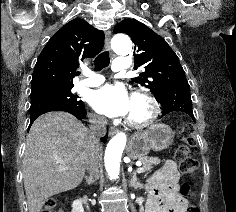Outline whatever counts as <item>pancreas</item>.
Wrapping results in <instances>:
<instances>
[{"mask_svg": "<svg viewBox=\"0 0 236 212\" xmlns=\"http://www.w3.org/2000/svg\"><path fill=\"white\" fill-rule=\"evenodd\" d=\"M140 161L142 162V172H150L154 165H158L161 161L157 157H148L142 156L140 157Z\"/></svg>", "mask_w": 236, "mask_h": 212, "instance_id": "cf45deb5", "label": "pancreas"}]
</instances>
